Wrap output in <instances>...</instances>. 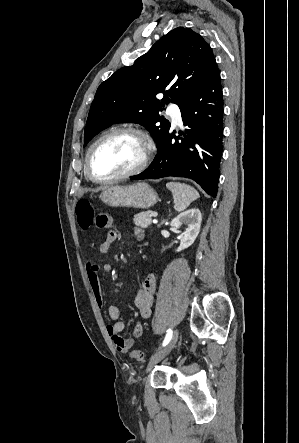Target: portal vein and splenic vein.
<instances>
[{
    "label": "portal vein and splenic vein",
    "instance_id": "1",
    "mask_svg": "<svg viewBox=\"0 0 299 443\" xmlns=\"http://www.w3.org/2000/svg\"><path fill=\"white\" fill-rule=\"evenodd\" d=\"M157 215H158L157 212H152V213H151V216H152V217H157Z\"/></svg>",
    "mask_w": 299,
    "mask_h": 443
}]
</instances>
